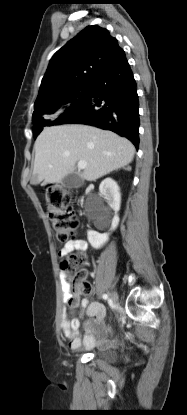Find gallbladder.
<instances>
[{"instance_id": "obj_1", "label": "gallbladder", "mask_w": 187, "mask_h": 415, "mask_svg": "<svg viewBox=\"0 0 187 415\" xmlns=\"http://www.w3.org/2000/svg\"><path fill=\"white\" fill-rule=\"evenodd\" d=\"M62 185L66 188H79L83 185V180L76 175L75 173H71L62 179Z\"/></svg>"}]
</instances>
